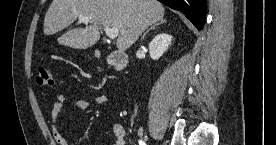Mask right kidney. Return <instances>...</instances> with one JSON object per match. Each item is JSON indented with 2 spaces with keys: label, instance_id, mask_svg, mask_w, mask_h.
<instances>
[{
  "label": "right kidney",
  "instance_id": "obj_1",
  "mask_svg": "<svg viewBox=\"0 0 276 145\" xmlns=\"http://www.w3.org/2000/svg\"><path fill=\"white\" fill-rule=\"evenodd\" d=\"M172 41V36L166 33L156 35L149 44L150 57L153 60H158L163 53L168 49Z\"/></svg>",
  "mask_w": 276,
  "mask_h": 145
}]
</instances>
